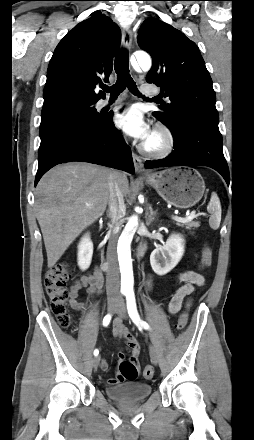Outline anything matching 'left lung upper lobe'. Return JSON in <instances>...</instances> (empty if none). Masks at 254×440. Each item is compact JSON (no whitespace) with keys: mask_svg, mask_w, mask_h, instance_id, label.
Wrapping results in <instances>:
<instances>
[{"mask_svg":"<svg viewBox=\"0 0 254 440\" xmlns=\"http://www.w3.org/2000/svg\"><path fill=\"white\" fill-rule=\"evenodd\" d=\"M138 44L153 58L146 81L160 86L161 94L170 99L153 115L175 134L186 117L218 124L212 80L197 45L181 31L153 18L141 25Z\"/></svg>","mask_w":254,"mask_h":440,"instance_id":"5c2ea615","label":"left lung upper lobe"}]
</instances>
